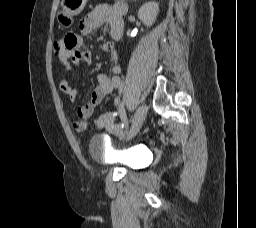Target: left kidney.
Instances as JSON below:
<instances>
[{
  "mask_svg": "<svg viewBox=\"0 0 256 228\" xmlns=\"http://www.w3.org/2000/svg\"><path fill=\"white\" fill-rule=\"evenodd\" d=\"M159 12V4L156 2H146L144 3L139 11L138 17L144 23L145 26L151 27L156 21Z\"/></svg>",
  "mask_w": 256,
  "mask_h": 228,
  "instance_id": "obj_1",
  "label": "left kidney"
}]
</instances>
